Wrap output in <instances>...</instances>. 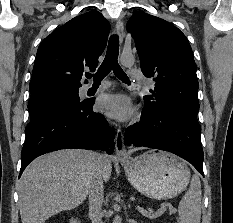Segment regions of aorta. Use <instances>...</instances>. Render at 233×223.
<instances>
[{
	"label": "aorta",
	"mask_w": 233,
	"mask_h": 223,
	"mask_svg": "<svg viewBox=\"0 0 233 223\" xmlns=\"http://www.w3.org/2000/svg\"><path fill=\"white\" fill-rule=\"evenodd\" d=\"M120 62L122 64V66H125V68H132L134 62H135V58L134 56H121L120 58ZM114 223V221H113Z\"/></svg>",
	"instance_id": "obj_1"
}]
</instances>
